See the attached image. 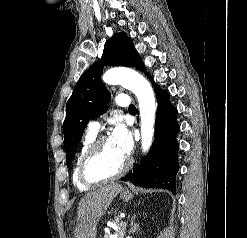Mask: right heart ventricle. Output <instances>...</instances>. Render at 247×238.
Listing matches in <instances>:
<instances>
[{
    "instance_id": "1",
    "label": "right heart ventricle",
    "mask_w": 247,
    "mask_h": 238,
    "mask_svg": "<svg viewBox=\"0 0 247 238\" xmlns=\"http://www.w3.org/2000/svg\"><path fill=\"white\" fill-rule=\"evenodd\" d=\"M95 138H96V132H92V131L87 132V134L85 135L83 139L82 145L80 147V150L77 154V157L74 163L73 172H72V181H73L74 186L81 191L88 190L92 187V186L85 185L81 182V180L79 179V175H78V167H79V163L81 161L82 156L84 155L86 150L89 148L91 143L95 140Z\"/></svg>"
}]
</instances>
